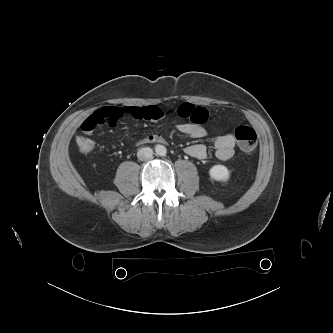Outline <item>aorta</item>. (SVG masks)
Listing matches in <instances>:
<instances>
[{
	"label": "aorta",
	"instance_id": "1",
	"mask_svg": "<svg viewBox=\"0 0 333 333\" xmlns=\"http://www.w3.org/2000/svg\"><path fill=\"white\" fill-rule=\"evenodd\" d=\"M155 150H156V154L159 156H165L167 153V149L163 145H157Z\"/></svg>",
	"mask_w": 333,
	"mask_h": 333
}]
</instances>
